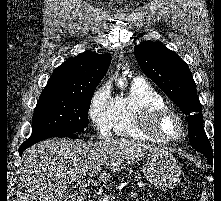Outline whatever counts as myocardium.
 <instances>
[{
  "label": "myocardium",
  "mask_w": 221,
  "mask_h": 201,
  "mask_svg": "<svg viewBox=\"0 0 221 201\" xmlns=\"http://www.w3.org/2000/svg\"><path fill=\"white\" fill-rule=\"evenodd\" d=\"M167 118L174 119L178 125V133L175 136L165 135L161 131L160 126ZM138 128L146 136L160 143L175 142L184 134V123L181 116L167 105L146 108L139 116Z\"/></svg>",
  "instance_id": "obj_1"
}]
</instances>
